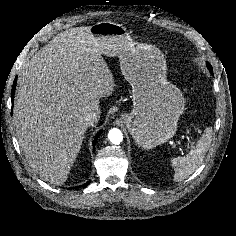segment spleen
<instances>
[{"mask_svg":"<svg viewBox=\"0 0 236 236\" xmlns=\"http://www.w3.org/2000/svg\"><path fill=\"white\" fill-rule=\"evenodd\" d=\"M211 139L212 128L208 127L205 133L200 137L196 146L192 148L186 156L172 159V165L175 168V182L183 181L198 169L210 147Z\"/></svg>","mask_w":236,"mask_h":236,"instance_id":"obj_1","label":"spleen"}]
</instances>
